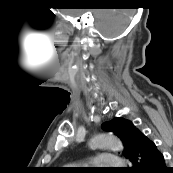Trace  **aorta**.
I'll return each mask as SVG.
<instances>
[{
	"label": "aorta",
	"mask_w": 173,
	"mask_h": 173,
	"mask_svg": "<svg viewBox=\"0 0 173 173\" xmlns=\"http://www.w3.org/2000/svg\"><path fill=\"white\" fill-rule=\"evenodd\" d=\"M92 149H110L115 152L123 151V144L121 140L110 133L96 134L90 141Z\"/></svg>",
	"instance_id": "1"
}]
</instances>
